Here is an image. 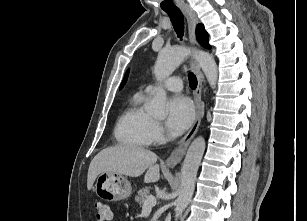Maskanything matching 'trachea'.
Returning a JSON list of instances; mask_svg holds the SVG:
<instances>
[{
	"mask_svg": "<svg viewBox=\"0 0 307 221\" xmlns=\"http://www.w3.org/2000/svg\"><path fill=\"white\" fill-rule=\"evenodd\" d=\"M165 12L169 15L177 36L182 38L184 34V18L181 11L178 8H175L165 10ZM188 76L190 88L193 90L196 89L198 84L196 76L192 72H190Z\"/></svg>",
	"mask_w": 307,
	"mask_h": 221,
	"instance_id": "trachea-1",
	"label": "trachea"
}]
</instances>
